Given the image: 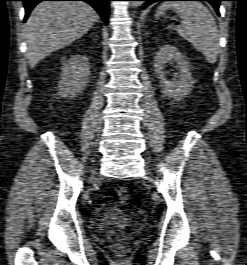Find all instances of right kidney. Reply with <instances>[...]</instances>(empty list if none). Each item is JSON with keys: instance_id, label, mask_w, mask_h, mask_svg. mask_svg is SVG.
<instances>
[{"instance_id": "obj_1", "label": "right kidney", "mask_w": 247, "mask_h": 265, "mask_svg": "<svg viewBox=\"0 0 247 265\" xmlns=\"http://www.w3.org/2000/svg\"><path fill=\"white\" fill-rule=\"evenodd\" d=\"M90 66L86 56L75 55L63 63L58 95L75 97L89 82Z\"/></svg>"}]
</instances>
